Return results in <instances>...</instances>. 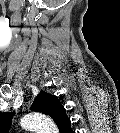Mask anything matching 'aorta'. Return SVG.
I'll return each mask as SVG.
<instances>
[{
    "instance_id": "obj_1",
    "label": "aorta",
    "mask_w": 120,
    "mask_h": 133,
    "mask_svg": "<svg viewBox=\"0 0 120 133\" xmlns=\"http://www.w3.org/2000/svg\"><path fill=\"white\" fill-rule=\"evenodd\" d=\"M47 118L41 113H31L21 119V125L33 128L47 129Z\"/></svg>"
}]
</instances>
